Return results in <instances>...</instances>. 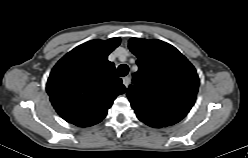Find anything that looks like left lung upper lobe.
<instances>
[{
	"mask_svg": "<svg viewBox=\"0 0 248 158\" xmlns=\"http://www.w3.org/2000/svg\"><path fill=\"white\" fill-rule=\"evenodd\" d=\"M129 49L139 70L127 96L138 119L151 127L173 125L195 103L199 78L193 65L172 45L131 38Z\"/></svg>",
	"mask_w": 248,
	"mask_h": 158,
	"instance_id": "obj_1",
	"label": "left lung upper lobe"
}]
</instances>
